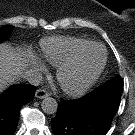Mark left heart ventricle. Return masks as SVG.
<instances>
[{"label":"left heart ventricle","instance_id":"1","mask_svg":"<svg viewBox=\"0 0 135 135\" xmlns=\"http://www.w3.org/2000/svg\"><path fill=\"white\" fill-rule=\"evenodd\" d=\"M103 57V49L99 46H92L84 54L79 64L74 69L65 73L64 82L68 85H75L81 82L101 65Z\"/></svg>","mask_w":135,"mask_h":135}]
</instances>
